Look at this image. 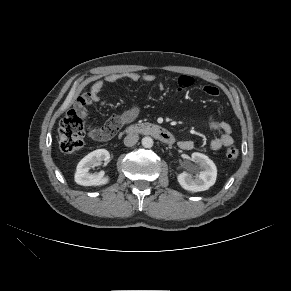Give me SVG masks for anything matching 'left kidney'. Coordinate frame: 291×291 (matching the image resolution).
I'll return each mask as SVG.
<instances>
[{"mask_svg":"<svg viewBox=\"0 0 291 291\" xmlns=\"http://www.w3.org/2000/svg\"><path fill=\"white\" fill-rule=\"evenodd\" d=\"M191 161L196 165H190L188 172H182L177 176V180L182 188L192 192L208 190L214 185L217 177V168L214 162L206 155L194 152ZM192 173L196 175L193 176Z\"/></svg>","mask_w":291,"mask_h":291,"instance_id":"5707ae66","label":"left kidney"}]
</instances>
